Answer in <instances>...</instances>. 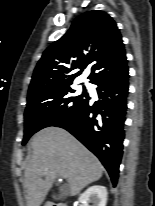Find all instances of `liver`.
Returning <instances> with one entry per match:
<instances>
[{
  "label": "liver",
  "mask_w": 155,
  "mask_h": 206,
  "mask_svg": "<svg viewBox=\"0 0 155 206\" xmlns=\"http://www.w3.org/2000/svg\"><path fill=\"white\" fill-rule=\"evenodd\" d=\"M31 146L33 155L25 169L27 206L43 203L57 173L65 175L66 192L71 196L79 194L103 174L100 161L64 129H42L33 136Z\"/></svg>",
  "instance_id": "6515ba94"
}]
</instances>
